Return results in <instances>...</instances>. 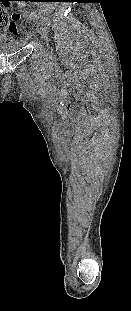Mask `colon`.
<instances>
[{
	"mask_svg": "<svg viewBox=\"0 0 131 311\" xmlns=\"http://www.w3.org/2000/svg\"><path fill=\"white\" fill-rule=\"evenodd\" d=\"M14 16H15L14 13L0 11V30L13 25ZM16 28L19 31H21V29L24 31H32L33 29L36 28V25L33 23H29V22H23V23H21V25H19Z\"/></svg>",
	"mask_w": 131,
	"mask_h": 311,
	"instance_id": "obj_1",
	"label": "colon"
}]
</instances>
